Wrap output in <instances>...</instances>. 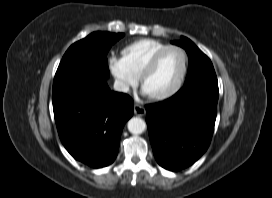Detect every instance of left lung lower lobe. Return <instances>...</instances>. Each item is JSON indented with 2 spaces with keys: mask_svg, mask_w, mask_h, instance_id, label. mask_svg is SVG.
<instances>
[{
  "mask_svg": "<svg viewBox=\"0 0 272 198\" xmlns=\"http://www.w3.org/2000/svg\"><path fill=\"white\" fill-rule=\"evenodd\" d=\"M219 97L216 77L190 81L171 98L146 106L154 156L163 168L192 165L209 147Z\"/></svg>",
  "mask_w": 272,
  "mask_h": 198,
  "instance_id": "1",
  "label": "left lung lower lobe"
}]
</instances>
